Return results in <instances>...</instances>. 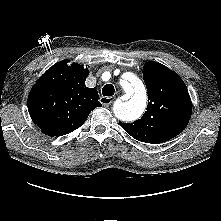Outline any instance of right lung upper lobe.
Instances as JSON below:
<instances>
[{
  "label": "right lung upper lobe",
  "mask_w": 221,
  "mask_h": 221,
  "mask_svg": "<svg viewBox=\"0 0 221 221\" xmlns=\"http://www.w3.org/2000/svg\"><path fill=\"white\" fill-rule=\"evenodd\" d=\"M67 60L49 68L32 87L28 111L32 121L48 136L66 135L80 127L96 107L95 88L85 86L89 71Z\"/></svg>",
  "instance_id": "cb5924a9"
}]
</instances>
